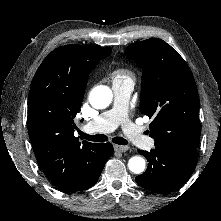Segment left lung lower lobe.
<instances>
[{
    "mask_svg": "<svg viewBox=\"0 0 221 221\" xmlns=\"http://www.w3.org/2000/svg\"><path fill=\"white\" fill-rule=\"evenodd\" d=\"M148 161L147 170L136 177L139 186L158 194L181 187L192 174L198 160L197 151L155 146L150 152L138 150Z\"/></svg>",
    "mask_w": 221,
    "mask_h": 221,
    "instance_id": "0a47b994",
    "label": "left lung lower lobe"
}]
</instances>
